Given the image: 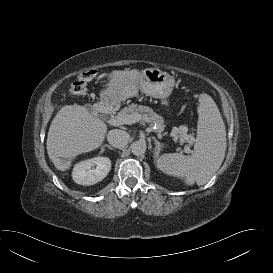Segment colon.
Returning a JSON list of instances; mask_svg holds the SVG:
<instances>
[{
	"label": "colon",
	"instance_id": "colon-1",
	"mask_svg": "<svg viewBox=\"0 0 273 273\" xmlns=\"http://www.w3.org/2000/svg\"><path fill=\"white\" fill-rule=\"evenodd\" d=\"M95 77L93 71H86L78 77L71 85V93L74 95H83L86 93L87 84Z\"/></svg>",
	"mask_w": 273,
	"mask_h": 273
}]
</instances>
